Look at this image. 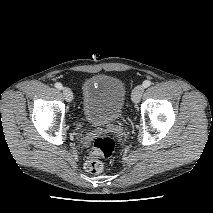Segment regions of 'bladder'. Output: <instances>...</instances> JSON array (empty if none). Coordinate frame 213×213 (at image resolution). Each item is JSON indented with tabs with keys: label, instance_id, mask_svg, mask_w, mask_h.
Masks as SVG:
<instances>
[{
	"label": "bladder",
	"instance_id": "1",
	"mask_svg": "<svg viewBox=\"0 0 213 213\" xmlns=\"http://www.w3.org/2000/svg\"><path fill=\"white\" fill-rule=\"evenodd\" d=\"M124 83L110 75L87 78L81 88V106L85 119L97 126L116 122L125 103Z\"/></svg>",
	"mask_w": 213,
	"mask_h": 213
}]
</instances>
